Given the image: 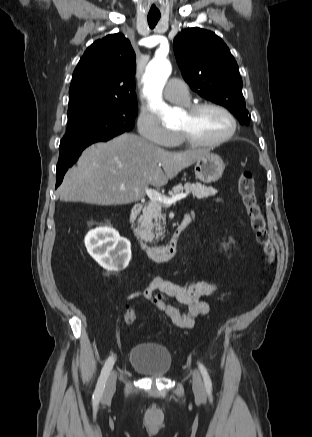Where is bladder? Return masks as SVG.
I'll return each instance as SVG.
<instances>
[{
  "label": "bladder",
  "mask_w": 312,
  "mask_h": 437,
  "mask_svg": "<svg viewBox=\"0 0 312 437\" xmlns=\"http://www.w3.org/2000/svg\"><path fill=\"white\" fill-rule=\"evenodd\" d=\"M129 364L147 377L164 378L171 370L172 356L161 344L142 343L131 349Z\"/></svg>",
  "instance_id": "31cf9c89"
}]
</instances>
